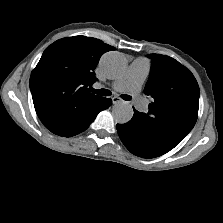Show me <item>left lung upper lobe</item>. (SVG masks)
<instances>
[{"label":"left lung upper lobe","mask_w":223,"mask_h":223,"mask_svg":"<svg viewBox=\"0 0 223 223\" xmlns=\"http://www.w3.org/2000/svg\"><path fill=\"white\" fill-rule=\"evenodd\" d=\"M154 61L144 93L151 97L147 114L134 116L150 132L181 142L192 130L198 115L199 86L192 73L168 56L152 54Z\"/></svg>","instance_id":"obj_1"}]
</instances>
